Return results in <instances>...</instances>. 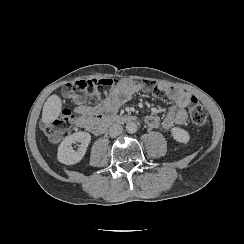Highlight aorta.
Listing matches in <instances>:
<instances>
[{
  "mask_svg": "<svg viewBox=\"0 0 244 244\" xmlns=\"http://www.w3.org/2000/svg\"><path fill=\"white\" fill-rule=\"evenodd\" d=\"M126 131L128 133H131V134L135 133L137 131V125H136V123H134V122L127 123L126 124Z\"/></svg>",
  "mask_w": 244,
  "mask_h": 244,
  "instance_id": "obj_1",
  "label": "aorta"
}]
</instances>
